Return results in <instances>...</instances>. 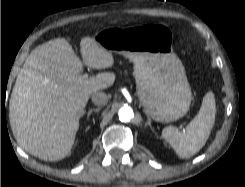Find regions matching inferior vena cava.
Listing matches in <instances>:
<instances>
[{
    "label": "inferior vena cava",
    "mask_w": 245,
    "mask_h": 187,
    "mask_svg": "<svg viewBox=\"0 0 245 187\" xmlns=\"http://www.w3.org/2000/svg\"><path fill=\"white\" fill-rule=\"evenodd\" d=\"M92 102L97 106H104L108 103V96L103 92L94 93L91 97Z\"/></svg>",
    "instance_id": "1"
}]
</instances>
